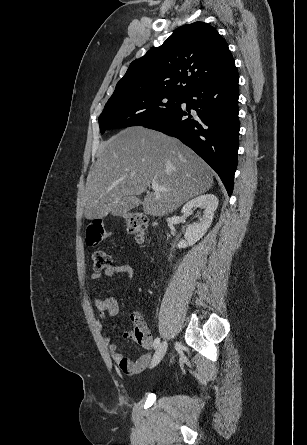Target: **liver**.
<instances>
[{"instance_id":"1","label":"liver","mask_w":307,"mask_h":445,"mask_svg":"<svg viewBox=\"0 0 307 445\" xmlns=\"http://www.w3.org/2000/svg\"><path fill=\"white\" fill-rule=\"evenodd\" d=\"M97 160L85 190L86 218H103L109 212L122 216L131 200L128 194L147 192L145 214L163 216L192 196L212 186V168L178 138L158 130L129 126L101 140ZM157 182L168 190H147Z\"/></svg>"}]
</instances>
